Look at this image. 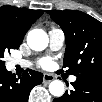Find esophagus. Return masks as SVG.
I'll return each mask as SVG.
<instances>
[{
    "label": "esophagus",
    "instance_id": "esophagus-1",
    "mask_svg": "<svg viewBox=\"0 0 102 102\" xmlns=\"http://www.w3.org/2000/svg\"><path fill=\"white\" fill-rule=\"evenodd\" d=\"M54 79H55V76H53L52 74L44 73V75H43V83L44 84H48Z\"/></svg>",
    "mask_w": 102,
    "mask_h": 102
}]
</instances>
